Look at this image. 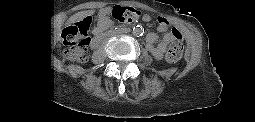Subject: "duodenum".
<instances>
[{
    "label": "duodenum",
    "instance_id": "duodenum-1",
    "mask_svg": "<svg viewBox=\"0 0 255 122\" xmlns=\"http://www.w3.org/2000/svg\"><path fill=\"white\" fill-rule=\"evenodd\" d=\"M102 35H103V32H102V31H99V32L96 34V41H99Z\"/></svg>",
    "mask_w": 255,
    "mask_h": 122
}]
</instances>
